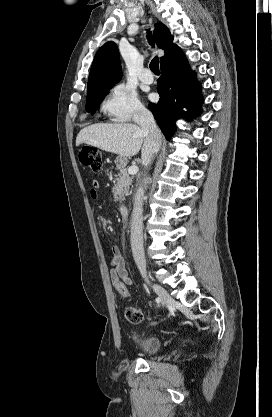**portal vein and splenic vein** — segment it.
I'll return each mask as SVG.
<instances>
[{"label":"portal vein and splenic vein","instance_id":"18ae733b","mask_svg":"<svg viewBox=\"0 0 272 417\" xmlns=\"http://www.w3.org/2000/svg\"><path fill=\"white\" fill-rule=\"evenodd\" d=\"M138 171H139V168L136 165H133V166L129 167V169H128V173L130 175H135V174L138 173Z\"/></svg>","mask_w":272,"mask_h":417}]
</instances>
